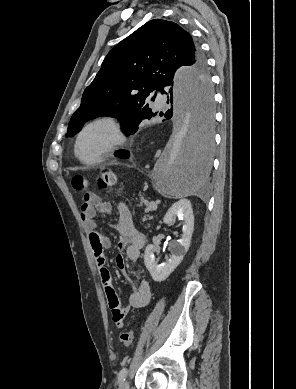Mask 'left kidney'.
Returning <instances> with one entry per match:
<instances>
[{
    "label": "left kidney",
    "mask_w": 296,
    "mask_h": 389,
    "mask_svg": "<svg viewBox=\"0 0 296 389\" xmlns=\"http://www.w3.org/2000/svg\"><path fill=\"white\" fill-rule=\"evenodd\" d=\"M176 217L182 220L184 225L181 239L170 246L171 257L166 262L159 264L158 257L155 255L158 252V247L149 244L145 248L144 263L156 282L164 281L177 268L190 247L194 230V215L189 200L181 199L174 203L165 214L163 221L170 225Z\"/></svg>",
    "instance_id": "left-kidney-1"
}]
</instances>
